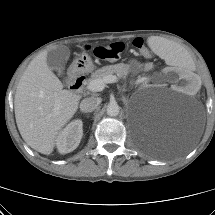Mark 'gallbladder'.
<instances>
[{
  "label": "gallbladder",
  "instance_id": "bac80fb5",
  "mask_svg": "<svg viewBox=\"0 0 215 215\" xmlns=\"http://www.w3.org/2000/svg\"><path fill=\"white\" fill-rule=\"evenodd\" d=\"M69 49L65 46H60L50 50L47 53V65L58 75H62L65 69V64L69 58Z\"/></svg>",
  "mask_w": 215,
  "mask_h": 215
}]
</instances>
